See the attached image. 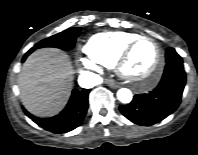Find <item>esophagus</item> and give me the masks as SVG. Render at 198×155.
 I'll return each instance as SVG.
<instances>
[{
    "label": "esophagus",
    "mask_w": 198,
    "mask_h": 155,
    "mask_svg": "<svg viewBox=\"0 0 198 155\" xmlns=\"http://www.w3.org/2000/svg\"><path fill=\"white\" fill-rule=\"evenodd\" d=\"M105 82L112 89L119 88V85L116 82L112 81V80H106Z\"/></svg>",
    "instance_id": "1"
}]
</instances>
